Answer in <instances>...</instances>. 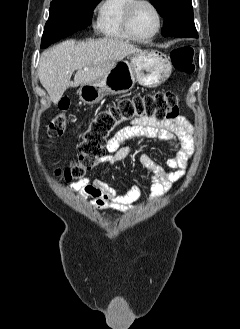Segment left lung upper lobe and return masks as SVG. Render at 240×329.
I'll return each mask as SVG.
<instances>
[{
  "label": "left lung upper lobe",
  "instance_id": "left-lung-upper-lobe-1",
  "mask_svg": "<svg viewBox=\"0 0 240 329\" xmlns=\"http://www.w3.org/2000/svg\"><path fill=\"white\" fill-rule=\"evenodd\" d=\"M164 18L162 35L172 37H198L193 20L191 0H150Z\"/></svg>",
  "mask_w": 240,
  "mask_h": 329
}]
</instances>
